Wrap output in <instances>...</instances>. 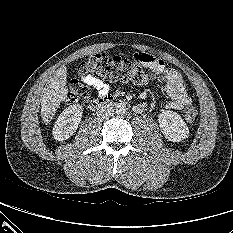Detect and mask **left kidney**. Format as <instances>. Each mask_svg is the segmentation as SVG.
Segmentation results:
<instances>
[{"mask_svg": "<svg viewBox=\"0 0 233 233\" xmlns=\"http://www.w3.org/2000/svg\"><path fill=\"white\" fill-rule=\"evenodd\" d=\"M159 126L165 138L172 142H180L189 136V128L181 116L167 110L158 116Z\"/></svg>", "mask_w": 233, "mask_h": 233, "instance_id": "1", "label": "left kidney"}]
</instances>
